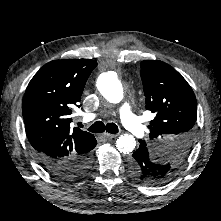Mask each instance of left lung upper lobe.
<instances>
[{
    "label": "left lung upper lobe",
    "instance_id": "left-lung-upper-lobe-1",
    "mask_svg": "<svg viewBox=\"0 0 221 221\" xmlns=\"http://www.w3.org/2000/svg\"><path fill=\"white\" fill-rule=\"evenodd\" d=\"M141 78L146 109L156 115L148 127L155 145L153 160L163 169L155 184H161L175 174L191 149L197 118L196 98L181 74L162 61H142Z\"/></svg>",
    "mask_w": 221,
    "mask_h": 221
}]
</instances>
